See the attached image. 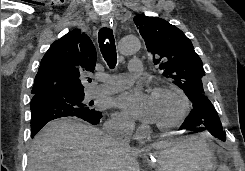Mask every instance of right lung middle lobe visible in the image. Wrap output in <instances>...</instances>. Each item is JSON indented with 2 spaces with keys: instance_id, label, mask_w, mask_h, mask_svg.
Segmentation results:
<instances>
[{
  "instance_id": "dd1d6c3e",
  "label": "right lung middle lobe",
  "mask_w": 245,
  "mask_h": 171,
  "mask_svg": "<svg viewBox=\"0 0 245 171\" xmlns=\"http://www.w3.org/2000/svg\"><path fill=\"white\" fill-rule=\"evenodd\" d=\"M64 97H71L69 100L76 106V107H83L86 112L95 111L90 105H87L83 102L84 94L75 95V96H64Z\"/></svg>"
}]
</instances>
